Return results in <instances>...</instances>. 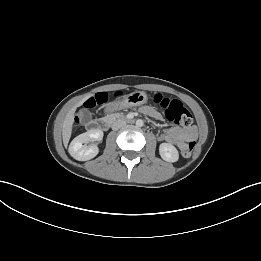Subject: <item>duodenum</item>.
<instances>
[{"mask_svg":"<svg viewBox=\"0 0 261 261\" xmlns=\"http://www.w3.org/2000/svg\"><path fill=\"white\" fill-rule=\"evenodd\" d=\"M124 120L128 123H132L135 121V118L133 116H127ZM110 125L111 121L109 119H98L92 122L91 129L105 131L110 127Z\"/></svg>","mask_w":261,"mask_h":261,"instance_id":"410a0bca","label":"duodenum"}]
</instances>
